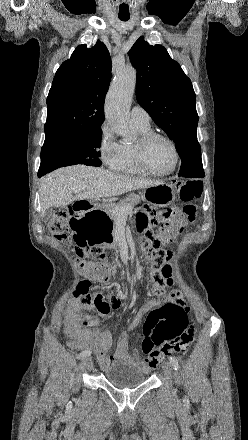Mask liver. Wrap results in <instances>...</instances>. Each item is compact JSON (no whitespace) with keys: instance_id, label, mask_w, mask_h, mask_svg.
Listing matches in <instances>:
<instances>
[{"instance_id":"liver-1","label":"liver","mask_w":248,"mask_h":440,"mask_svg":"<svg viewBox=\"0 0 248 440\" xmlns=\"http://www.w3.org/2000/svg\"><path fill=\"white\" fill-rule=\"evenodd\" d=\"M158 184L161 182L119 175L103 168L85 165L63 167L47 174L41 180V216L49 207H63L74 201L101 197L116 200L126 192L147 189ZM79 189L81 190L74 192Z\"/></svg>"}]
</instances>
